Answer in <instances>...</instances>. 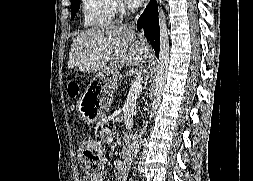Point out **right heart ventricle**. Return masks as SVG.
<instances>
[{
    "label": "right heart ventricle",
    "mask_w": 253,
    "mask_h": 181,
    "mask_svg": "<svg viewBox=\"0 0 253 181\" xmlns=\"http://www.w3.org/2000/svg\"><path fill=\"white\" fill-rule=\"evenodd\" d=\"M82 24L86 28L110 25L116 13L114 0H81Z\"/></svg>",
    "instance_id": "obj_1"
}]
</instances>
